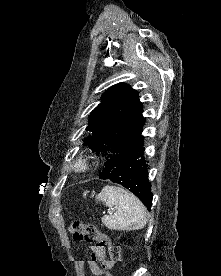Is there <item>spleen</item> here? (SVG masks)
<instances>
[{
  "mask_svg": "<svg viewBox=\"0 0 221 276\" xmlns=\"http://www.w3.org/2000/svg\"><path fill=\"white\" fill-rule=\"evenodd\" d=\"M106 206H114V214L102 217V223L111 230L132 231L144 228L146 210L141 201L121 187L107 185L96 196Z\"/></svg>",
  "mask_w": 221,
  "mask_h": 276,
  "instance_id": "3e777b00",
  "label": "spleen"
}]
</instances>
